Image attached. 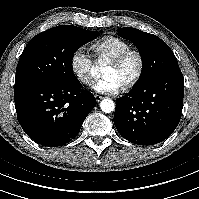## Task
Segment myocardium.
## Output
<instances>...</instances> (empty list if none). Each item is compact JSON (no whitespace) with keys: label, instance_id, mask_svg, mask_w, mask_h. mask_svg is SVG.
Listing matches in <instances>:
<instances>
[{"label":"myocardium","instance_id":"f54148a6","mask_svg":"<svg viewBox=\"0 0 199 199\" xmlns=\"http://www.w3.org/2000/svg\"><path fill=\"white\" fill-rule=\"evenodd\" d=\"M131 56H134L137 60V70L134 75L123 84L125 89L134 87L141 80L145 70V58L143 53L139 49L129 48L108 63L109 66L119 68Z\"/></svg>","mask_w":199,"mask_h":199}]
</instances>
